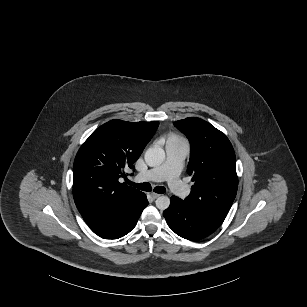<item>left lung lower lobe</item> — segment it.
<instances>
[{
  "label": "left lung lower lobe",
  "instance_id": "0a47b994",
  "mask_svg": "<svg viewBox=\"0 0 307 307\" xmlns=\"http://www.w3.org/2000/svg\"><path fill=\"white\" fill-rule=\"evenodd\" d=\"M163 215L177 235L193 241L209 236L220 226L195 212L184 200L176 196L171 197L170 206Z\"/></svg>",
  "mask_w": 307,
  "mask_h": 307
}]
</instances>
